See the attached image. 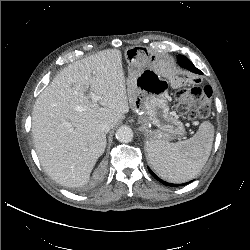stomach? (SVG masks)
<instances>
[{
    "label": "stomach",
    "instance_id": "1",
    "mask_svg": "<svg viewBox=\"0 0 250 250\" xmlns=\"http://www.w3.org/2000/svg\"><path fill=\"white\" fill-rule=\"evenodd\" d=\"M128 62V95L131 108L143 125L155 124L160 128L158 138L182 135L183 124L169 111L165 97V82L147 66L152 62L151 54L143 47L132 46L125 50Z\"/></svg>",
    "mask_w": 250,
    "mask_h": 250
}]
</instances>
